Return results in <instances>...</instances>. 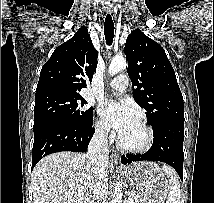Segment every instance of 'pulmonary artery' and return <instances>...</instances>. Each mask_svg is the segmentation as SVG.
I'll return each instance as SVG.
<instances>
[{"label": "pulmonary artery", "mask_w": 214, "mask_h": 203, "mask_svg": "<svg viewBox=\"0 0 214 203\" xmlns=\"http://www.w3.org/2000/svg\"><path fill=\"white\" fill-rule=\"evenodd\" d=\"M128 84H129V79L127 75H124V74L118 75L117 77H115L109 82V86L112 89L121 91V92L127 88Z\"/></svg>", "instance_id": "pulmonary-artery-1"}]
</instances>
